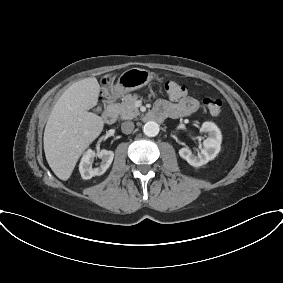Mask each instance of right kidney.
Segmentation results:
<instances>
[{
    "instance_id": "obj_1",
    "label": "right kidney",
    "mask_w": 283,
    "mask_h": 283,
    "mask_svg": "<svg viewBox=\"0 0 283 283\" xmlns=\"http://www.w3.org/2000/svg\"><path fill=\"white\" fill-rule=\"evenodd\" d=\"M94 157L100 158L102 161L99 167L92 168ZM113 151L101 150L95 153L91 149L87 150L79 164V171L83 179H90L94 176H99L105 173L113 161Z\"/></svg>"
}]
</instances>
